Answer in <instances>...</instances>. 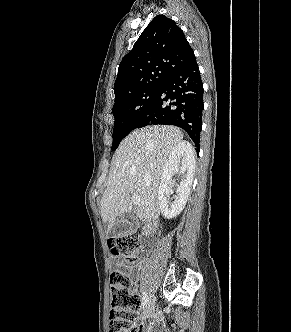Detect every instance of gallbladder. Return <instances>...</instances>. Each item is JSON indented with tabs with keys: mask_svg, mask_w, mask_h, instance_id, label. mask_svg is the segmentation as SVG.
<instances>
[{
	"mask_svg": "<svg viewBox=\"0 0 291 332\" xmlns=\"http://www.w3.org/2000/svg\"><path fill=\"white\" fill-rule=\"evenodd\" d=\"M137 229L135 210L123 214L109 231L111 238H117L122 235L133 233Z\"/></svg>",
	"mask_w": 291,
	"mask_h": 332,
	"instance_id": "obj_1",
	"label": "gallbladder"
}]
</instances>
